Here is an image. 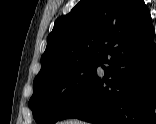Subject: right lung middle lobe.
<instances>
[{
	"mask_svg": "<svg viewBox=\"0 0 156 124\" xmlns=\"http://www.w3.org/2000/svg\"><path fill=\"white\" fill-rule=\"evenodd\" d=\"M101 59L65 66L35 78L29 106L39 124H54L76 102L97 75Z\"/></svg>",
	"mask_w": 156,
	"mask_h": 124,
	"instance_id": "obj_1",
	"label": "right lung middle lobe"
}]
</instances>
